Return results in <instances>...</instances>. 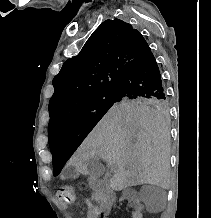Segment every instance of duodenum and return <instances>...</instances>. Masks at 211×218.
Here are the masks:
<instances>
[{
  "label": "duodenum",
  "instance_id": "1",
  "mask_svg": "<svg viewBox=\"0 0 211 218\" xmlns=\"http://www.w3.org/2000/svg\"><path fill=\"white\" fill-rule=\"evenodd\" d=\"M89 185L98 193L100 198V211L107 214L115 202V193L107 181L89 177Z\"/></svg>",
  "mask_w": 211,
  "mask_h": 218
}]
</instances>
